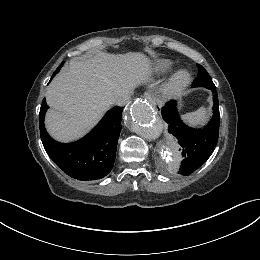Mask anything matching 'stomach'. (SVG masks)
I'll return each mask as SVG.
<instances>
[{
	"instance_id": "obj_1",
	"label": "stomach",
	"mask_w": 260,
	"mask_h": 260,
	"mask_svg": "<svg viewBox=\"0 0 260 260\" xmlns=\"http://www.w3.org/2000/svg\"><path fill=\"white\" fill-rule=\"evenodd\" d=\"M183 106V104L182 103H180V108Z\"/></svg>"
}]
</instances>
